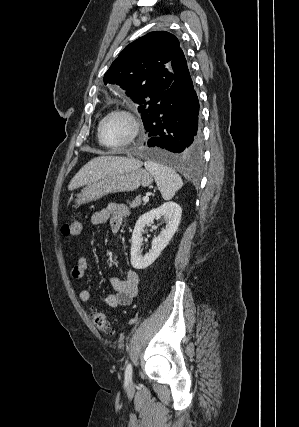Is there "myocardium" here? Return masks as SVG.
Returning a JSON list of instances; mask_svg holds the SVG:
<instances>
[{
    "mask_svg": "<svg viewBox=\"0 0 299 427\" xmlns=\"http://www.w3.org/2000/svg\"><path fill=\"white\" fill-rule=\"evenodd\" d=\"M113 115H122L124 117H126L128 119V121L131 124V134L129 136V138L127 140H125L124 142L120 143V144H116V145H111V144H107L105 142H103L102 138H101V128L103 123L105 122L106 119H108L109 117L113 116ZM141 132V122L139 117L137 116V114H135L133 111H131L130 109L127 108H117V109H113L111 111H109L108 113H106L102 119L100 120V122L98 123L97 126V138L99 143L109 149H119L125 146H128L129 144H131L132 142H134L136 140V138L139 136Z\"/></svg>",
    "mask_w": 299,
    "mask_h": 427,
    "instance_id": "myocardium-1",
    "label": "myocardium"
}]
</instances>
